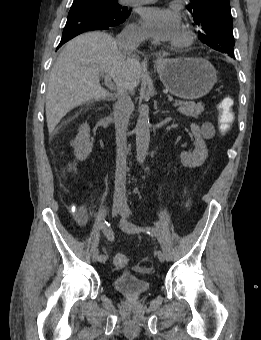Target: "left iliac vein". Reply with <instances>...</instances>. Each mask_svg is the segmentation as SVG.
Returning a JSON list of instances; mask_svg holds the SVG:
<instances>
[{"instance_id": "1", "label": "left iliac vein", "mask_w": 261, "mask_h": 340, "mask_svg": "<svg viewBox=\"0 0 261 340\" xmlns=\"http://www.w3.org/2000/svg\"><path fill=\"white\" fill-rule=\"evenodd\" d=\"M129 215H130L129 209H128L127 207H124V208L122 209V211H121L122 220H121V224H120V225H121V228H122L124 231H128V230L126 229L125 224H126V222H127V218L129 217ZM128 232H130V231H128ZM157 255H158V259H159L160 262H165L166 257H165V255H164L163 251L159 250L158 253H157Z\"/></svg>"}]
</instances>
